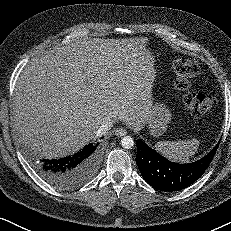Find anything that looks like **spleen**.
<instances>
[{
  "mask_svg": "<svg viewBox=\"0 0 231 231\" xmlns=\"http://www.w3.org/2000/svg\"><path fill=\"white\" fill-rule=\"evenodd\" d=\"M199 147L197 139L160 141L155 145L156 150L169 160L186 163L195 155Z\"/></svg>",
  "mask_w": 231,
  "mask_h": 231,
  "instance_id": "spleen-1",
  "label": "spleen"
}]
</instances>
